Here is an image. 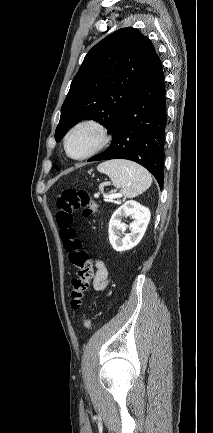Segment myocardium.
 I'll use <instances>...</instances> for the list:
<instances>
[{
    "label": "myocardium",
    "mask_w": 213,
    "mask_h": 433,
    "mask_svg": "<svg viewBox=\"0 0 213 433\" xmlns=\"http://www.w3.org/2000/svg\"><path fill=\"white\" fill-rule=\"evenodd\" d=\"M85 127L93 128L98 132L99 142L88 153H86L82 156H78V157L73 156L69 152V148H68L69 139L74 132H76L77 130H79L81 128H85ZM109 141H110V135L108 133L107 128L102 123H100L94 119H85V120H82V121L76 123L67 132L65 139H64V150H65L66 154L74 160H85V159L90 158V157L94 156L95 154L99 153L101 150H103L107 146Z\"/></svg>",
    "instance_id": "obj_1"
}]
</instances>
